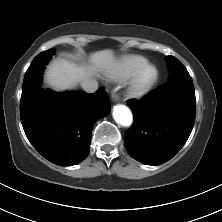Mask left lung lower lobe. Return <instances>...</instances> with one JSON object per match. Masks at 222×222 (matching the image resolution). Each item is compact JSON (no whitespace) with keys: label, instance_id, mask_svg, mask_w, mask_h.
<instances>
[{"label":"left lung lower lobe","instance_id":"obj_1","mask_svg":"<svg viewBox=\"0 0 222 222\" xmlns=\"http://www.w3.org/2000/svg\"><path fill=\"white\" fill-rule=\"evenodd\" d=\"M134 123L124 135L131 157L159 165L187 141L195 122V90L190 76L172 79L140 101H128Z\"/></svg>","mask_w":222,"mask_h":222}]
</instances>
